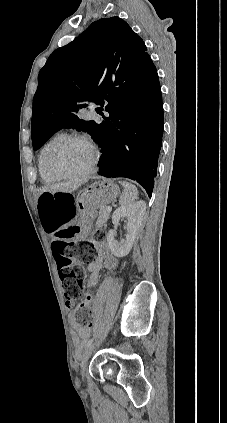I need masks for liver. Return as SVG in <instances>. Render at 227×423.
Listing matches in <instances>:
<instances>
[{
    "mask_svg": "<svg viewBox=\"0 0 227 423\" xmlns=\"http://www.w3.org/2000/svg\"><path fill=\"white\" fill-rule=\"evenodd\" d=\"M79 186L81 184H77V182H59V184H47V186L42 188V192H51V194H55V192H70V194H73Z\"/></svg>",
    "mask_w": 227,
    "mask_h": 423,
    "instance_id": "6515ba94",
    "label": "liver"
}]
</instances>
